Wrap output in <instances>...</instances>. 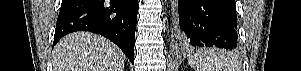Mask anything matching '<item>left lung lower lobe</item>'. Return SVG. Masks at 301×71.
<instances>
[{"instance_id": "1", "label": "left lung lower lobe", "mask_w": 301, "mask_h": 71, "mask_svg": "<svg viewBox=\"0 0 301 71\" xmlns=\"http://www.w3.org/2000/svg\"><path fill=\"white\" fill-rule=\"evenodd\" d=\"M178 43L234 50L238 23L234 0H176L172 4Z\"/></svg>"}]
</instances>
